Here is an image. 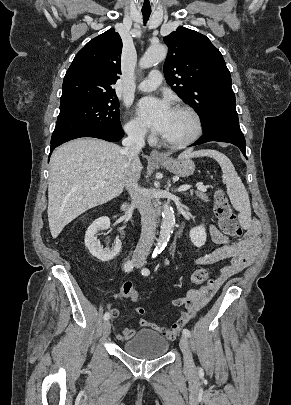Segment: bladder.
<instances>
[{"instance_id":"bladder-1","label":"bladder","mask_w":291,"mask_h":405,"mask_svg":"<svg viewBox=\"0 0 291 405\" xmlns=\"http://www.w3.org/2000/svg\"><path fill=\"white\" fill-rule=\"evenodd\" d=\"M168 348V340L160 333L150 329L138 331L121 346L126 354L145 360L164 356Z\"/></svg>"}]
</instances>
